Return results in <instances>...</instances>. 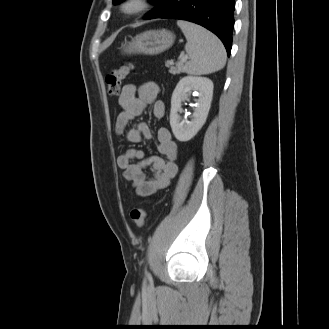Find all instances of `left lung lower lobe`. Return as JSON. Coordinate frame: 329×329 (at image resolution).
Instances as JSON below:
<instances>
[{
    "mask_svg": "<svg viewBox=\"0 0 329 329\" xmlns=\"http://www.w3.org/2000/svg\"><path fill=\"white\" fill-rule=\"evenodd\" d=\"M155 4L145 19H180L199 24L217 35L230 55L235 0H158Z\"/></svg>",
    "mask_w": 329,
    "mask_h": 329,
    "instance_id": "1",
    "label": "left lung lower lobe"
}]
</instances>
